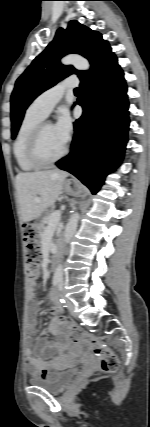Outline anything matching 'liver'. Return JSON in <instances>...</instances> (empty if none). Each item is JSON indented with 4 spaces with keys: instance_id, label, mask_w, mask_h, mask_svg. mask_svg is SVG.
I'll return each mask as SVG.
<instances>
[{
    "instance_id": "obj_1",
    "label": "liver",
    "mask_w": 150,
    "mask_h": 427,
    "mask_svg": "<svg viewBox=\"0 0 150 427\" xmlns=\"http://www.w3.org/2000/svg\"><path fill=\"white\" fill-rule=\"evenodd\" d=\"M67 176L68 173L59 170L22 172L16 176L18 201L24 222L38 218L56 202ZM35 198L40 201L35 202Z\"/></svg>"
}]
</instances>
